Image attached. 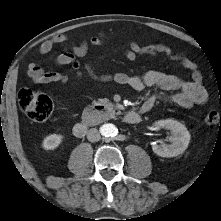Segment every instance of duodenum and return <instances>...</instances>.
Listing matches in <instances>:
<instances>
[{"mask_svg": "<svg viewBox=\"0 0 221 221\" xmlns=\"http://www.w3.org/2000/svg\"><path fill=\"white\" fill-rule=\"evenodd\" d=\"M124 122L127 124H137L141 120V114L137 111H129L124 117ZM89 128V123L87 121L77 122L73 127V134L77 138H83L86 136Z\"/></svg>", "mask_w": 221, "mask_h": 221, "instance_id": "410a0bca", "label": "duodenum"}]
</instances>
